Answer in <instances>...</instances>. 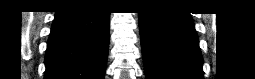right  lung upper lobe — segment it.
Returning <instances> with one entry per match:
<instances>
[{"instance_id": "obj_1", "label": "right lung upper lobe", "mask_w": 255, "mask_h": 79, "mask_svg": "<svg viewBox=\"0 0 255 79\" xmlns=\"http://www.w3.org/2000/svg\"><path fill=\"white\" fill-rule=\"evenodd\" d=\"M84 1H79V2H73V3H83Z\"/></svg>"}]
</instances>
